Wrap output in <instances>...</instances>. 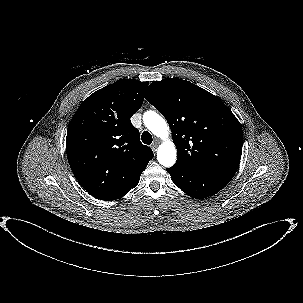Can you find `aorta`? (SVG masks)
<instances>
[{
    "label": "aorta",
    "mask_w": 303,
    "mask_h": 303,
    "mask_svg": "<svg viewBox=\"0 0 303 303\" xmlns=\"http://www.w3.org/2000/svg\"><path fill=\"white\" fill-rule=\"evenodd\" d=\"M145 126L157 137L163 140L157 151L158 162L164 167H171L176 162V148L169 139V127L165 119L154 111H147L143 114Z\"/></svg>",
    "instance_id": "aorta-1"
}]
</instances>
